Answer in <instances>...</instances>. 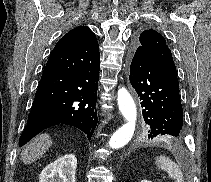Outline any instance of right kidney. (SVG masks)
<instances>
[{
	"label": "right kidney",
	"instance_id": "ca27d5eb",
	"mask_svg": "<svg viewBox=\"0 0 211 182\" xmlns=\"http://www.w3.org/2000/svg\"><path fill=\"white\" fill-rule=\"evenodd\" d=\"M76 168V156L66 154L43 169L39 182H76Z\"/></svg>",
	"mask_w": 211,
	"mask_h": 182
}]
</instances>
